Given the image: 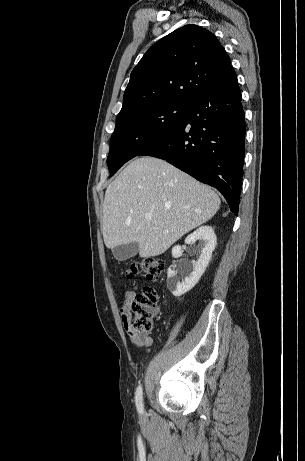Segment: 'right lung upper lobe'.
Listing matches in <instances>:
<instances>
[{
  "instance_id": "cb5924a9",
  "label": "right lung upper lobe",
  "mask_w": 305,
  "mask_h": 461,
  "mask_svg": "<svg viewBox=\"0 0 305 461\" xmlns=\"http://www.w3.org/2000/svg\"><path fill=\"white\" fill-rule=\"evenodd\" d=\"M235 72L210 31L186 25L156 42L133 69L116 121L162 103H190Z\"/></svg>"
}]
</instances>
